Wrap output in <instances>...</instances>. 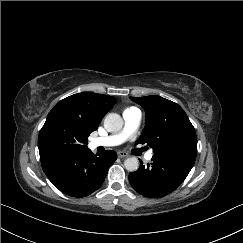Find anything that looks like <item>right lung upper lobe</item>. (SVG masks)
Masks as SVG:
<instances>
[{"label":"right lung upper lobe","instance_id":"cb5924a9","mask_svg":"<svg viewBox=\"0 0 243 243\" xmlns=\"http://www.w3.org/2000/svg\"><path fill=\"white\" fill-rule=\"evenodd\" d=\"M113 102L114 97L108 95L82 92L59 101L52 110L64 111L91 133L98 128Z\"/></svg>","mask_w":243,"mask_h":243}]
</instances>
